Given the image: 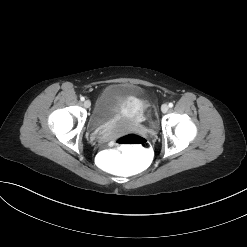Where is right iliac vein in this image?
<instances>
[{
  "label": "right iliac vein",
  "instance_id": "right-iliac-vein-1",
  "mask_svg": "<svg viewBox=\"0 0 247 247\" xmlns=\"http://www.w3.org/2000/svg\"><path fill=\"white\" fill-rule=\"evenodd\" d=\"M90 106H91L90 100H88V99L85 100V101H84V107H85V108H89Z\"/></svg>",
  "mask_w": 247,
  "mask_h": 247
}]
</instances>
